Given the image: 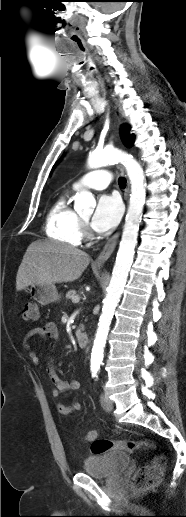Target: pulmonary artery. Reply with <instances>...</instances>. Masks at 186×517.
I'll return each instance as SVG.
<instances>
[{"instance_id": "pulmonary-artery-1", "label": "pulmonary artery", "mask_w": 186, "mask_h": 517, "mask_svg": "<svg viewBox=\"0 0 186 517\" xmlns=\"http://www.w3.org/2000/svg\"><path fill=\"white\" fill-rule=\"evenodd\" d=\"M111 182V175L107 170H95L87 173L74 183L73 188H91L102 190L108 187Z\"/></svg>"}]
</instances>
